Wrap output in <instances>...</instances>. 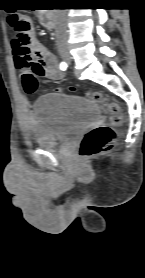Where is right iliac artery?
I'll return each instance as SVG.
<instances>
[{
    "label": "right iliac artery",
    "instance_id": "obj_1",
    "mask_svg": "<svg viewBox=\"0 0 145 278\" xmlns=\"http://www.w3.org/2000/svg\"><path fill=\"white\" fill-rule=\"evenodd\" d=\"M60 68H61V70H66L67 64L65 62H61L60 63Z\"/></svg>",
    "mask_w": 145,
    "mask_h": 278
}]
</instances>
